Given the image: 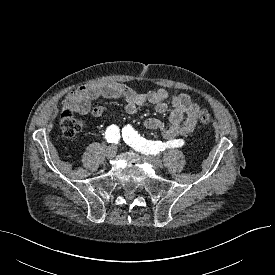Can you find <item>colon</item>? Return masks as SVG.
<instances>
[{
    "label": "colon",
    "mask_w": 275,
    "mask_h": 275,
    "mask_svg": "<svg viewBox=\"0 0 275 275\" xmlns=\"http://www.w3.org/2000/svg\"><path fill=\"white\" fill-rule=\"evenodd\" d=\"M197 119L200 124L208 126L212 123V115L208 110L197 112ZM83 122L76 118L70 111H65L61 117V129L66 138H73L83 129Z\"/></svg>",
    "instance_id": "obj_1"
}]
</instances>
